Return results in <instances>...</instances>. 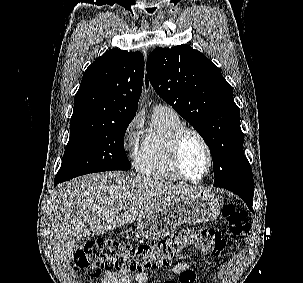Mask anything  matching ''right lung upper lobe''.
Wrapping results in <instances>:
<instances>
[{
  "label": "right lung upper lobe",
  "mask_w": 303,
  "mask_h": 283,
  "mask_svg": "<svg viewBox=\"0 0 303 283\" xmlns=\"http://www.w3.org/2000/svg\"><path fill=\"white\" fill-rule=\"evenodd\" d=\"M144 76L140 52L109 50L84 72L71 121H129L136 115Z\"/></svg>",
  "instance_id": "1"
}]
</instances>
